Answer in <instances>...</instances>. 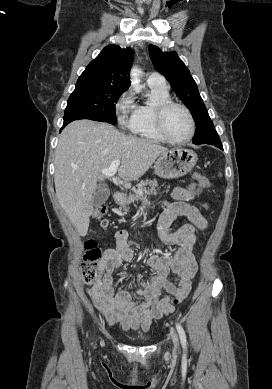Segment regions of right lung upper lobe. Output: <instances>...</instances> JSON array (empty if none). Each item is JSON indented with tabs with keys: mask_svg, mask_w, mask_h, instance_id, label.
I'll list each match as a JSON object with an SVG mask.
<instances>
[{
	"mask_svg": "<svg viewBox=\"0 0 272 389\" xmlns=\"http://www.w3.org/2000/svg\"><path fill=\"white\" fill-rule=\"evenodd\" d=\"M134 60L130 48L117 45L106 46L86 67L77 84L107 86L127 90L130 86L129 72Z\"/></svg>",
	"mask_w": 272,
	"mask_h": 389,
	"instance_id": "1",
	"label": "right lung upper lobe"
}]
</instances>
